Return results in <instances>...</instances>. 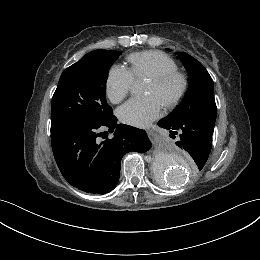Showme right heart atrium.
<instances>
[{"mask_svg":"<svg viewBox=\"0 0 260 260\" xmlns=\"http://www.w3.org/2000/svg\"><path fill=\"white\" fill-rule=\"evenodd\" d=\"M134 78L130 71L122 66L113 65L106 80V93L113 103H119L129 93Z\"/></svg>","mask_w":260,"mask_h":260,"instance_id":"d8ad5b80","label":"right heart atrium"}]
</instances>
